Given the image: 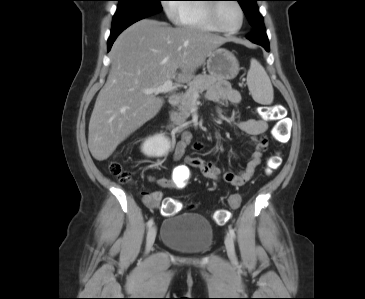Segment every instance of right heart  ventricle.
<instances>
[{
  "label": "right heart ventricle",
  "instance_id": "obj_1",
  "mask_svg": "<svg viewBox=\"0 0 365 299\" xmlns=\"http://www.w3.org/2000/svg\"><path fill=\"white\" fill-rule=\"evenodd\" d=\"M186 1H207V0H186ZM209 4H180L177 22L182 26H189L197 29L215 31L208 18Z\"/></svg>",
  "mask_w": 365,
  "mask_h": 299
}]
</instances>
